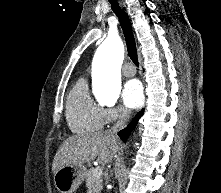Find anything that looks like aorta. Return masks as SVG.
Returning <instances> with one entry per match:
<instances>
[{
    "instance_id": "762f6f07",
    "label": "aorta",
    "mask_w": 221,
    "mask_h": 193,
    "mask_svg": "<svg viewBox=\"0 0 221 193\" xmlns=\"http://www.w3.org/2000/svg\"><path fill=\"white\" fill-rule=\"evenodd\" d=\"M123 58L124 46L117 37L106 39L96 51L93 92L104 104H113L119 97L121 90L119 70Z\"/></svg>"
}]
</instances>
